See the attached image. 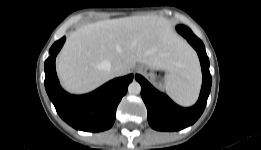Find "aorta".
I'll list each match as a JSON object with an SVG mask.
<instances>
[{
	"label": "aorta",
	"mask_w": 261,
	"mask_h": 150,
	"mask_svg": "<svg viewBox=\"0 0 261 150\" xmlns=\"http://www.w3.org/2000/svg\"><path fill=\"white\" fill-rule=\"evenodd\" d=\"M141 91V85L137 81H132L128 86V92L130 94L136 95L139 94Z\"/></svg>",
	"instance_id": "1"
}]
</instances>
